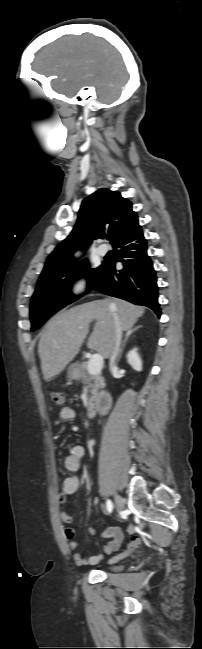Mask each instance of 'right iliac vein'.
<instances>
[{
  "mask_svg": "<svg viewBox=\"0 0 202 649\" xmlns=\"http://www.w3.org/2000/svg\"><path fill=\"white\" fill-rule=\"evenodd\" d=\"M115 505H116V510L120 512L123 507H124V501L120 495L117 493L115 494Z\"/></svg>",
  "mask_w": 202,
  "mask_h": 649,
  "instance_id": "obj_1",
  "label": "right iliac vein"
}]
</instances>
